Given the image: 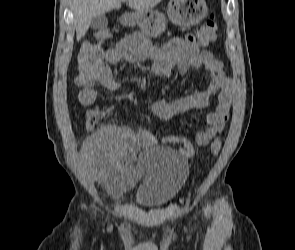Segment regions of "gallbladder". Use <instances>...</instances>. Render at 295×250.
<instances>
[{"instance_id":"1","label":"gallbladder","mask_w":295,"mask_h":250,"mask_svg":"<svg viewBox=\"0 0 295 250\" xmlns=\"http://www.w3.org/2000/svg\"><path fill=\"white\" fill-rule=\"evenodd\" d=\"M107 24H108L107 17L103 14V15L94 16L91 19L90 26L94 30H103L106 28Z\"/></svg>"}]
</instances>
